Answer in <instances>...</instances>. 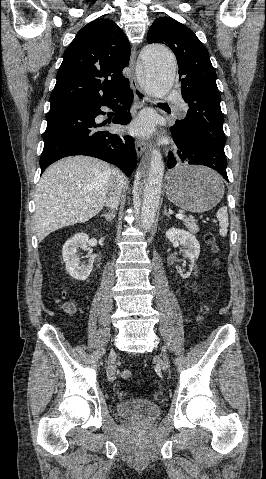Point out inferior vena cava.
Returning <instances> with one entry per match:
<instances>
[{"instance_id":"inferior-vena-cava-1","label":"inferior vena cava","mask_w":266,"mask_h":479,"mask_svg":"<svg viewBox=\"0 0 266 479\" xmlns=\"http://www.w3.org/2000/svg\"><path fill=\"white\" fill-rule=\"evenodd\" d=\"M125 184L124 174L115 169L113 171V177L109 185L108 196L106 199V206L112 210L116 209L119 205L120 195Z\"/></svg>"}]
</instances>
